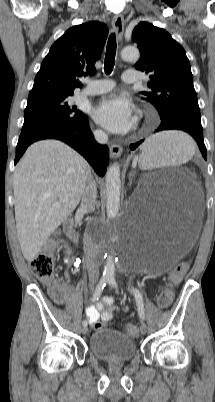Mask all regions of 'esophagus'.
<instances>
[{
    "label": "esophagus",
    "mask_w": 215,
    "mask_h": 402,
    "mask_svg": "<svg viewBox=\"0 0 215 402\" xmlns=\"http://www.w3.org/2000/svg\"><path fill=\"white\" fill-rule=\"evenodd\" d=\"M112 26L119 39H121L124 30V17L122 14H116L112 20ZM123 152V148L120 145L112 144L110 146L111 158H118Z\"/></svg>",
    "instance_id": "esophagus-1"
}]
</instances>
